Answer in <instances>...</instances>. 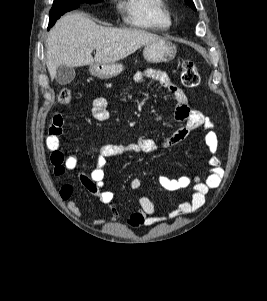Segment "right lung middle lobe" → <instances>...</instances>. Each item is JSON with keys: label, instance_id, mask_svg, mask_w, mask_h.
<instances>
[{"label": "right lung middle lobe", "instance_id": "1", "mask_svg": "<svg viewBox=\"0 0 267 301\" xmlns=\"http://www.w3.org/2000/svg\"><path fill=\"white\" fill-rule=\"evenodd\" d=\"M103 0H54L50 10L49 27L53 26L57 19L63 14L73 9H76L83 3H98Z\"/></svg>", "mask_w": 267, "mask_h": 301}]
</instances>
